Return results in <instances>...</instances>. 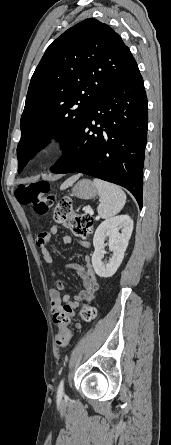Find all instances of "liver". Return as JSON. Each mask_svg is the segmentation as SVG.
<instances>
[{"label": "liver", "mask_w": 171, "mask_h": 445, "mask_svg": "<svg viewBox=\"0 0 171 445\" xmlns=\"http://www.w3.org/2000/svg\"><path fill=\"white\" fill-rule=\"evenodd\" d=\"M77 178H78V177L76 176V177H73V178L67 180V181L62 185V187H63V188L68 187V186L71 185Z\"/></svg>", "instance_id": "liver-1"}]
</instances>
